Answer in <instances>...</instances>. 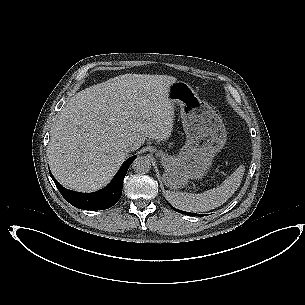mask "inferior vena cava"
<instances>
[{
    "instance_id": "obj_1",
    "label": "inferior vena cava",
    "mask_w": 305,
    "mask_h": 305,
    "mask_svg": "<svg viewBox=\"0 0 305 305\" xmlns=\"http://www.w3.org/2000/svg\"><path fill=\"white\" fill-rule=\"evenodd\" d=\"M124 150L129 153L131 151H135L136 150V146L133 144H127L124 146Z\"/></svg>"
}]
</instances>
